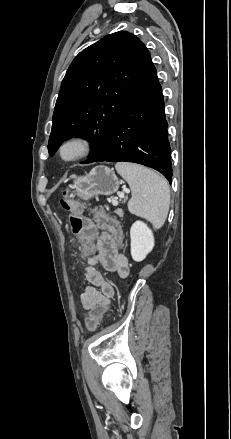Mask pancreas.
<instances>
[{"instance_id": "1", "label": "pancreas", "mask_w": 231, "mask_h": 439, "mask_svg": "<svg viewBox=\"0 0 231 439\" xmlns=\"http://www.w3.org/2000/svg\"><path fill=\"white\" fill-rule=\"evenodd\" d=\"M117 214H118L120 217L123 216V213H122L120 210L117 211Z\"/></svg>"}]
</instances>
